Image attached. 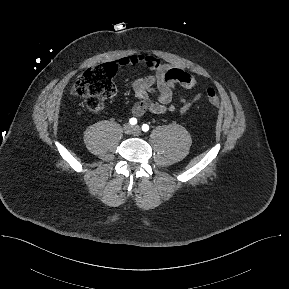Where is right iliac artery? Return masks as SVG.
<instances>
[{"instance_id": "82829eb1", "label": "right iliac artery", "mask_w": 289, "mask_h": 289, "mask_svg": "<svg viewBox=\"0 0 289 289\" xmlns=\"http://www.w3.org/2000/svg\"><path fill=\"white\" fill-rule=\"evenodd\" d=\"M129 122H130L131 125H136L137 124V119L136 118H131L129 120Z\"/></svg>"}]
</instances>
